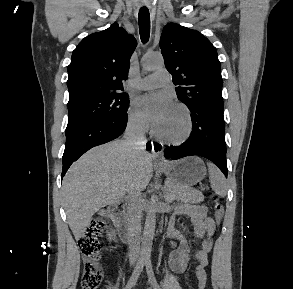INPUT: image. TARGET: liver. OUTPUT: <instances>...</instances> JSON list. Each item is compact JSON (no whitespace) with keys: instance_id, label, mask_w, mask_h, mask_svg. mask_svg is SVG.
Wrapping results in <instances>:
<instances>
[{"instance_id":"liver-1","label":"liver","mask_w":293,"mask_h":289,"mask_svg":"<svg viewBox=\"0 0 293 289\" xmlns=\"http://www.w3.org/2000/svg\"><path fill=\"white\" fill-rule=\"evenodd\" d=\"M153 174L151 155L115 140L86 152L62 183L67 220L76 240L84 237L94 213L114 204L132 187L140 192Z\"/></svg>"}]
</instances>
